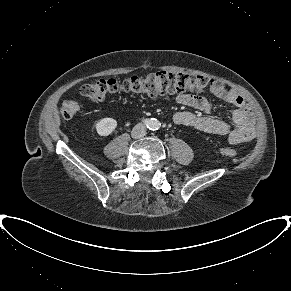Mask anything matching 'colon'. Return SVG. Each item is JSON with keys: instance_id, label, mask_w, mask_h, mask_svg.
I'll use <instances>...</instances> for the list:
<instances>
[{"instance_id": "1", "label": "colon", "mask_w": 291, "mask_h": 291, "mask_svg": "<svg viewBox=\"0 0 291 291\" xmlns=\"http://www.w3.org/2000/svg\"><path fill=\"white\" fill-rule=\"evenodd\" d=\"M223 89L222 83L206 76H193L184 73L160 71L143 77H130L124 80L98 79L81 87L80 93L94 102H102L107 98L131 93L157 97L166 94H181L187 91H203L217 93ZM80 110V104L75 100L63 102L61 115L64 118L73 117ZM219 153L223 156L236 158L239 152L234 147H222Z\"/></svg>"}]
</instances>
